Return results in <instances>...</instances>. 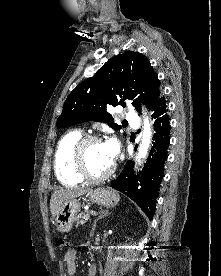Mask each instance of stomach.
<instances>
[{
  "mask_svg": "<svg viewBox=\"0 0 221 276\" xmlns=\"http://www.w3.org/2000/svg\"><path fill=\"white\" fill-rule=\"evenodd\" d=\"M88 197L92 202L103 206H114L120 200L119 195L109 188L92 190L88 193ZM80 207V199L75 198L67 199L60 205L55 224L61 233H67L71 230Z\"/></svg>",
  "mask_w": 221,
  "mask_h": 276,
  "instance_id": "obj_1",
  "label": "stomach"
}]
</instances>
